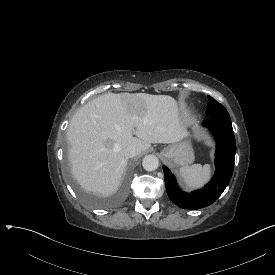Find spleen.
<instances>
[{
    "label": "spleen",
    "mask_w": 275,
    "mask_h": 275,
    "mask_svg": "<svg viewBox=\"0 0 275 275\" xmlns=\"http://www.w3.org/2000/svg\"><path fill=\"white\" fill-rule=\"evenodd\" d=\"M212 164H194L190 167H183L179 170V175L187 188L198 190L204 187L212 178Z\"/></svg>",
    "instance_id": "3e777b00"
}]
</instances>
